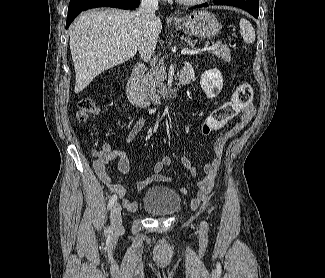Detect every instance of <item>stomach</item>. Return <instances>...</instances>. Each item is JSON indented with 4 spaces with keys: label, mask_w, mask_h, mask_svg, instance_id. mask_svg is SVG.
I'll return each mask as SVG.
<instances>
[{
    "label": "stomach",
    "mask_w": 325,
    "mask_h": 278,
    "mask_svg": "<svg viewBox=\"0 0 325 278\" xmlns=\"http://www.w3.org/2000/svg\"><path fill=\"white\" fill-rule=\"evenodd\" d=\"M175 25L184 32L202 38L215 37L221 30L216 17L205 10L194 11L175 21Z\"/></svg>",
    "instance_id": "1"
}]
</instances>
